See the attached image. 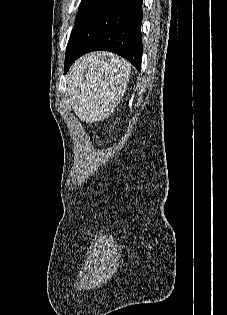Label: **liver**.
Returning a JSON list of instances; mask_svg holds the SVG:
<instances>
[{"label": "liver", "mask_w": 227, "mask_h": 315, "mask_svg": "<svg viewBox=\"0 0 227 315\" xmlns=\"http://www.w3.org/2000/svg\"><path fill=\"white\" fill-rule=\"evenodd\" d=\"M97 55H99V56H104V55H110V54H108V53H104V54H101V53H97Z\"/></svg>", "instance_id": "6515ba94"}]
</instances>
